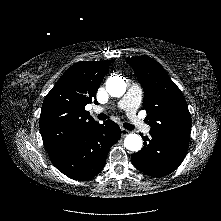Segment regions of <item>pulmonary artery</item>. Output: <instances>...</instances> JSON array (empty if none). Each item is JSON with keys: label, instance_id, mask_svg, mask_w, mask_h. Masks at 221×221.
Instances as JSON below:
<instances>
[{"label": "pulmonary artery", "instance_id": "e3ab8cb5", "mask_svg": "<svg viewBox=\"0 0 221 221\" xmlns=\"http://www.w3.org/2000/svg\"><path fill=\"white\" fill-rule=\"evenodd\" d=\"M142 99V89L137 84H132L128 89L125 96L117 103L119 109L124 110L127 113L128 118L130 119L133 126L136 128L147 132L149 127L145 125L136 115L137 108ZM105 108L99 107L96 108V111H104Z\"/></svg>", "mask_w": 221, "mask_h": 221}]
</instances>
